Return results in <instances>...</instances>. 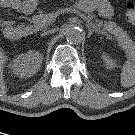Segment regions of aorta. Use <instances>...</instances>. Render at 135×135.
I'll use <instances>...</instances> for the list:
<instances>
[{
  "label": "aorta",
  "instance_id": "aorta-1",
  "mask_svg": "<svg viewBox=\"0 0 135 135\" xmlns=\"http://www.w3.org/2000/svg\"><path fill=\"white\" fill-rule=\"evenodd\" d=\"M65 37L70 43L80 44L84 39V32L76 26H68L65 29Z\"/></svg>",
  "mask_w": 135,
  "mask_h": 135
}]
</instances>
